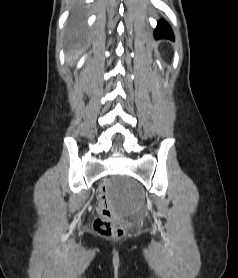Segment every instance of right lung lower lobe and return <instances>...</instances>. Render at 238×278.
I'll return each mask as SVG.
<instances>
[{"label": "right lung lower lobe", "instance_id": "right-lung-lower-lobe-1", "mask_svg": "<svg viewBox=\"0 0 238 278\" xmlns=\"http://www.w3.org/2000/svg\"><path fill=\"white\" fill-rule=\"evenodd\" d=\"M80 17H81V14H80V13H77V14L75 15V19H76V20H79Z\"/></svg>", "mask_w": 238, "mask_h": 278}]
</instances>
